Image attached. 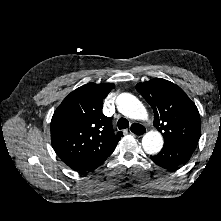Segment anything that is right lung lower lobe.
<instances>
[{
	"instance_id": "right-lung-lower-lobe-1",
	"label": "right lung lower lobe",
	"mask_w": 221,
	"mask_h": 221,
	"mask_svg": "<svg viewBox=\"0 0 221 221\" xmlns=\"http://www.w3.org/2000/svg\"><path fill=\"white\" fill-rule=\"evenodd\" d=\"M106 158L107 157L83 161L73 166H70V168L78 172H91L95 170L98 166H100L106 160Z\"/></svg>"
}]
</instances>
